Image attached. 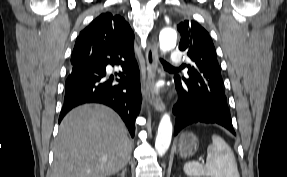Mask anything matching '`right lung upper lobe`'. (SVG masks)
<instances>
[{
	"mask_svg": "<svg viewBox=\"0 0 287 177\" xmlns=\"http://www.w3.org/2000/svg\"><path fill=\"white\" fill-rule=\"evenodd\" d=\"M133 42V31L123 17L103 13L80 32L71 55V64L88 58L93 48H105L116 44L133 48Z\"/></svg>",
	"mask_w": 287,
	"mask_h": 177,
	"instance_id": "1",
	"label": "right lung upper lobe"
}]
</instances>
